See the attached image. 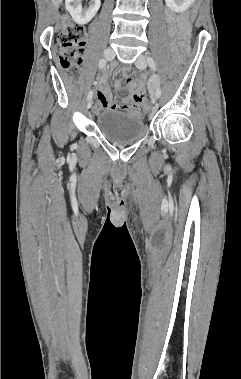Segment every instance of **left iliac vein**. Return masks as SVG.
Wrapping results in <instances>:
<instances>
[{"label":"left iliac vein","instance_id":"1","mask_svg":"<svg viewBox=\"0 0 241 379\" xmlns=\"http://www.w3.org/2000/svg\"><path fill=\"white\" fill-rule=\"evenodd\" d=\"M135 66L138 68V69H141V70H143V69H145L146 68V66H147V60H146V57L144 56V55H139L138 56V58H137V60L135 61ZM157 96H156V94H153L152 96H151V102H152V104H155L156 103V101H157Z\"/></svg>","mask_w":241,"mask_h":379}]
</instances>
